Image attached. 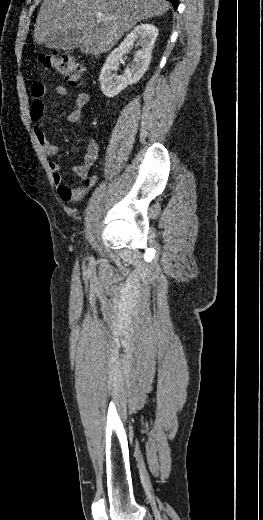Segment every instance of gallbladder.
I'll use <instances>...</instances> for the list:
<instances>
[{
    "mask_svg": "<svg viewBox=\"0 0 263 520\" xmlns=\"http://www.w3.org/2000/svg\"><path fill=\"white\" fill-rule=\"evenodd\" d=\"M81 35V31L78 29H74L73 32L69 34H62L60 31H56L50 35L47 47L59 50H73L76 48V41Z\"/></svg>",
    "mask_w": 263,
    "mask_h": 520,
    "instance_id": "1",
    "label": "gallbladder"
}]
</instances>
